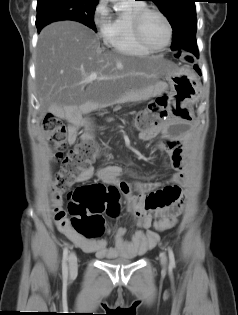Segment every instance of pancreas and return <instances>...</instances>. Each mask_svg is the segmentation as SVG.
<instances>
[{
    "instance_id": "pancreas-1",
    "label": "pancreas",
    "mask_w": 238,
    "mask_h": 315,
    "mask_svg": "<svg viewBox=\"0 0 238 315\" xmlns=\"http://www.w3.org/2000/svg\"><path fill=\"white\" fill-rule=\"evenodd\" d=\"M141 96H142V93L140 92V91H135V92H131V93H129V95H127L126 97H124V99H126V100H128V101H130V100H132V99H134V100H139V99H141ZM123 99H120V100H118V101H116V102H121Z\"/></svg>"
}]
</instances>
